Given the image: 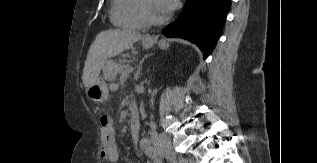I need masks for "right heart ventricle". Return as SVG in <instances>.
<instances>
[{"instance_id": "1", "label": "right heart ventricle", "mask_w": 317, "mask_h": 163, "mask_svg": "<svg viewBox=\"0 0 317 163\" xmlns=\"http://www.w3.org/2000/svg\"><path fill=\"white\" fill-rule=\"evenodd\" d=\"M110 18L115 26L123 29L147 27L140 13L139 0H112Z\"/></svg>"}]
</instances>
